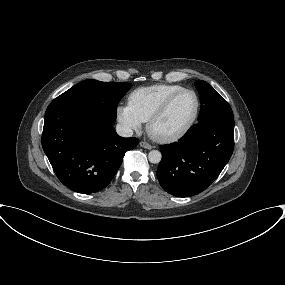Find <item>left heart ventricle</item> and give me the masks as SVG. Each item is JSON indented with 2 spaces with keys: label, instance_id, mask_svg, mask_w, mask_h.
<instances>
[{
  "label": "left heart ventricle",
  "instance_id": "left-heart-ventricle-1",
  "mask_svg": "<svg viewBox=\"0 0 285 285\" xmlns=\"http://www.w3.org/2000/svg\"><path fill=\"white\" fill-rule=\"evenodd\" d=\"M195 97L191 93L179 95L171 104L167 112L155 124V131L166 134L183 128L193 115Z\"/></svg>",
  "mask_w": 285,
  "mask_h": 285
}]
</instances>
